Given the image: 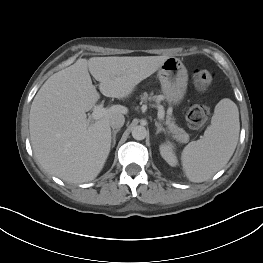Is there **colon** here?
<instances>
[{
  "label": "colon",
  "instance_id": "obj_1",
  "mask_svg": "<svg viewBox=\"0 0 263 263\" xmlns=\"http://www.w3.org/2000/svg\"><path fill=\"white\" fill-rule=\"evenodd\" d=\"M215 73L207 69H197L193 74L195 87L200 91H206L213 84ZM209 110L204 105L193 104L186 111V121L192 128L202 126L208 116Z\"/></svg>",
  "mask_w": 263,
  "mask_h": 263
}]
</instances>
